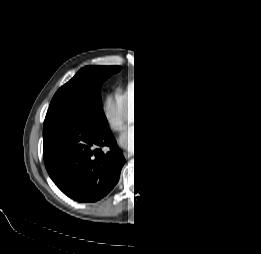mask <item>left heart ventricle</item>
<instances>
[{
  "label": "left heart ventricle",
  "instance_id": "1",
  "mask_svg": "<svg viewBox=\"0 0 261 254\" xmlns=\"http://www.w3.org/2000/svg\"><path fill=\"white\" fill-rule=\"evenodd\" d=\"M147 118H148V120H149L150 122L153 121V117H152V115H149Z\"/></svg>",
  "mask_w": 261,
  "mask_h": 254
}]
</instances>
